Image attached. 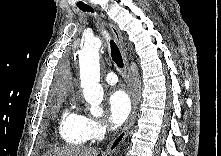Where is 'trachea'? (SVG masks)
<instances>
[{"instance_id":"obj_1","label":"trachea","mask_w":221,"mask_h":156,"mask_svg":"<svg viewBox=\"0 0 221 156\" xmlns=\"http://www.w3.org/2000/svg\"><path fill=\"white\" fill-rule=\"evenodd\" d=\"M77 6L82 11L94 13V10L91 7H89L88 5L84 4L83 2L77 3ZM110 48H111L112 60L119 68H123L124 64H123L122 55L120 53L119 48L117 47V45L115 44V42L113 40H110Z\"/></svg>"}]
</instances>
